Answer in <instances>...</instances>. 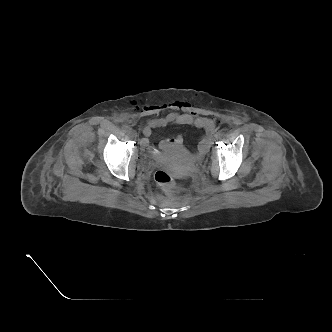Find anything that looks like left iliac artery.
<instances>
[{
    "instance_id": "44dca946",
    "label": "left iliac artery",
    "mask_w": 332,
    "mask_h": 332,
    "mask_svg": "<svg viewBox=\"0 0 332 332\" xmlns=\"http://www.w3.org/2000/svg\"><path fill=\"white\" fill-rule=\"evenodd\" d=\"M218 134H219L220 136H223V135H225V131H224V130H220V131L218 132Z\"/></svg>"
}]
</instances>
